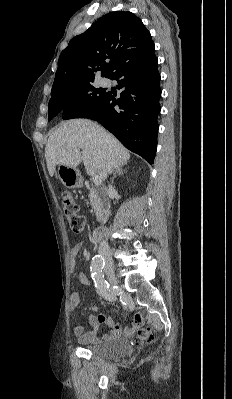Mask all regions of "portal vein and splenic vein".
Returning <instances> with one entry per match:
<instances>
[{"label":"portal vein and splenic vein","instance_id":"18ae733b","mask_svg":"<svg viewBox=\"0 0 232 399\" xmlns=\"http://www.w3.org/2000/svg\"><path fill=\"white\" fill-rule=\"evenodd\" d=\"M92 180H93L95 186H100V184L102 182L101 176H96V174H94Z\"/></svg>","mask_w":232,"mask_h":399}]
</instances>
